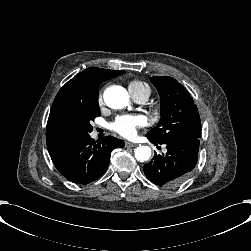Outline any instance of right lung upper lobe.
I'll return each instance as SVG.
<instances>
[{
  "instance_id": "obj_1",
  "label": "right lung upper lobe",
  "mask_w": 251,
  "mask_h": 251,
  "mask_svg": "<svg viewBox=\"0 0 251 251\" xmlns=\"http://www.w3.org/2000/svg\"><path fill=\"white\" fill-rule=\"evenodd\" d=\"M123 73L125 71L87 68L59 90L46 126V142L50 155L64 150L80 139L66 122L65 112L78 105L98 102L100 83Z\"/></svg>"
}]
</instances>
